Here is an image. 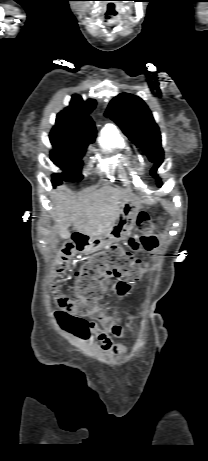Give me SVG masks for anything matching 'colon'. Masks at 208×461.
<instances>
[{"label": "colon", "instance_id": "5ec220e1", "mask_svg": "<svg viewBox=\"0 0 208 461\" xmlns=\"http://www.w3.org/2000/svg\"><path fill=\"white\" fill-rule=\"evenodd\" d=\"M140 237H130V250H138L141 246L151 249L157 244L154 225L145 212H140L136 218ZM74 244H69L54 264L55 277H59L68 267L69 258ZM130 250L118 244H112L104 253L94 255L81 264L74 273V298L61 295L58 298L59 309L55 316L59 324L73 335L85 339L87 322L84 316L90 315L97 306L102 295L103 278L128 277L139 280L144 268L139 259L133 257Z\"/></svg>", "mask_w": 208, "mask_h": 461}]
</instances>
